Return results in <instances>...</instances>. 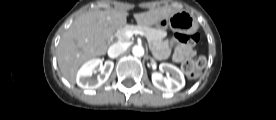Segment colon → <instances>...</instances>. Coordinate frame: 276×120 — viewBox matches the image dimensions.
Returning a JSON list of instances; mask_svg holds the SVG:
<instances>
[{"label":"colon","mask_w":276,"mask_h":120,"mask_svg":"<svg viewBox=\"0 0 276 120\" xmlns=\"http://www.w3.org/2000/svg\"><path fill=\"white\" fill-rule=\"evenodd\" d=\"M200 35L194 33L191 35L177 33L175 34L172 45L177 49L183 45H193L198 42ZM205 65V57L203 55H198L196 57L187 56L182 60L181 69L190 78L196 77Z\"/></svg>","instance_id":"5ec220e1"}]
</instances>
